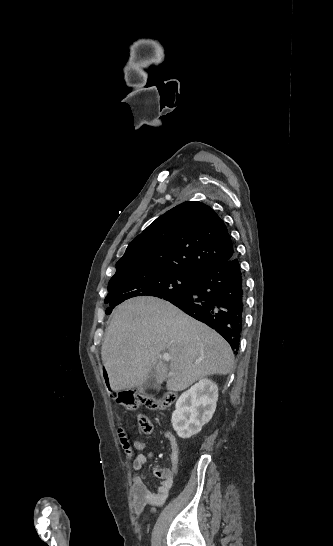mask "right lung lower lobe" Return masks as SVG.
Here are the masks:
<instances>
[{
    "instance_id": "right-lung-lower-lobe-1",
    "label": "right lung lower lobe",
    "mask_w": 333,
    "mask_h": 546,
    "mask_svg": "<svg viewBox=\"0 0 333 546\" xmlns=\"http://www.w3.org/2000/svg\"><path fill=\"white\" fill-rule=\"evenodd\" d=\"M163 299L216 330L237 353L244 324L245 284L236 255L203 272L188 292Z\"/></svg>"
}]
</instances>
